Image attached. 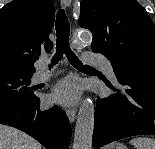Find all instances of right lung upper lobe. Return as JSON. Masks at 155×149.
Segmentation results:
<instances>
[{
	"label": "right lung upper lobe",
	"mask_w": 155,
	"mask_h": 149,
	"mask_svg": "<svg viewBox=\"0 0 155 149\" xmlns=\"http://www.w3.org/2000/svg\"><path fill=\"white\" fill-rule=\"evenodd\" d=\"M54 18L51 0H13L4 6L0 10V67L33 74L37 55L52 49L49 33Z\"/></svg>",
	"instance_id": "obj_1"
}]
</instances>
